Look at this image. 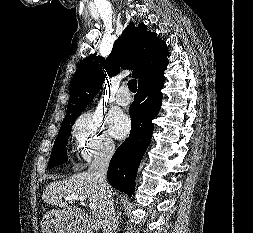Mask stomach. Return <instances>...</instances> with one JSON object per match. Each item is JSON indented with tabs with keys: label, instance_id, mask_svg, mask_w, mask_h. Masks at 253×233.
<instances>
[{
	"label": "stomach",
	"instance_id": "0dacf381",
	"mask_svg": "<svg viewBox=\"0 0 253 233\" xmlns=\"http://www.w3.org/2000/svg\"><path fill=\"white\" fill-rule=\"evenodd\" d=\"M43 233H81L73 210L48 212L41 221Z\"/></svg>",
	"mask_w": 253,
	"mask_h": 233
}]
</instances>
